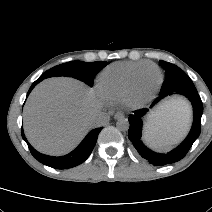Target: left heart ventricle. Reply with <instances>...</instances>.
<instances>
[{
	"mask_svg": "<svg viewBox=\"0 0 212 212\" xmlns=\"http://www.w3.org/2000/svg\"><path fill=\"white\" fill-rule=\"evenodd\" d=\"M158 80L157 72L154 69H147L142 75L141 89L147 91L151 89Z\"/></svg>",
	"mask_w": 212,
	"mask_h": 212,
	"instance_id": "obj_1",
	"label": "left heart ventricle"
}]
</instances>
